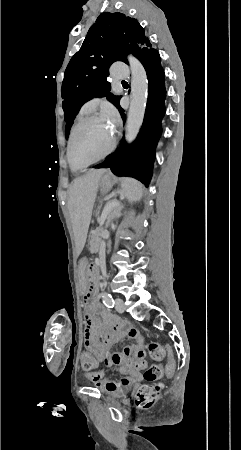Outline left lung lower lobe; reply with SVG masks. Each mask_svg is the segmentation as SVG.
Segmentation results:
<instances>
[{"instance_id": "1", "label": "left lung lower lobe", "mask_w": 241, "mask_h": 450, "mask_svg": "<svg viewBox=\"0 0 241 450\" xmlns=\"http://www.w3.org/2000/svg\"><path fill=\"white\" fill-rule=\"evenodd\" d=\"M139 60L148 78V100L140 133L131 145H127L122 139L120 147L95 168H110L117 176L134 177L148 186L155 160V148L162 132L160 123L165 114L166 90L164 71L157 50L150 48ZM119 111L125 122L124 110L120 107Z\"/></svg>"}]
</instances>
